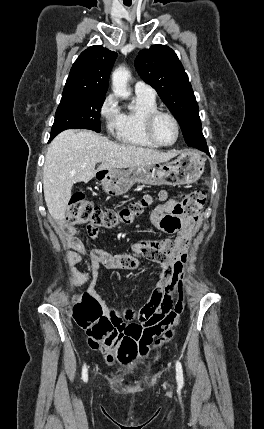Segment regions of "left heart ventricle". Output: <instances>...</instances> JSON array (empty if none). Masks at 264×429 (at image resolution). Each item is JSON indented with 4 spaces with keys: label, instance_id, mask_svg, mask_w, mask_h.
<instances>
[{
    "label": "left heart ventricle",
    "instance_id": "left-heart-ventricle-1",
    "mask_svg": "<svg viewBox=\"0 0 264 429\" xmlns=\"http://www.w3.org/2000/svg\"><path fill=\"white\" fill-rule=\"evenodd\" d=\"M154 133L156 138L162 143H170L176 136L174 123L165 116L159 117L154 125Z\"/></svg>",
    "mask_w": 264,
    "mask_h": 429
}]
</instances>
